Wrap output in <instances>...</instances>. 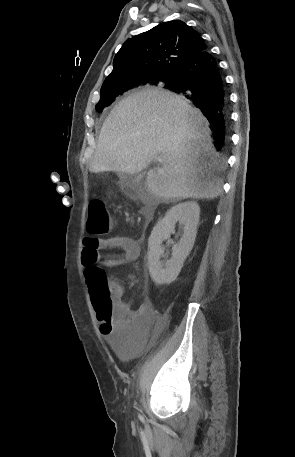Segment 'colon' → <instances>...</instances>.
I'll list each match as a JSON object with an SVG mask.
<instances>
[{"label": "colon", "instance_id": "5ec220e1", "mask_svg": "<svg viewBox=\"0 0 295 457\" xmlns=\"http://www.w3.org/2000/svg\"><path fill=\"white\" fill-rule=\"evenodd\" d=\"M86 225L88 231L96 235L107 233L111 229V215L103 199L90 202ZM84 272L97 317L101 321L109 322L115 312L114 288L96 263H88Z\"/></svg>", "mask_w": 295, "mask_h": 457}]
</instances>
